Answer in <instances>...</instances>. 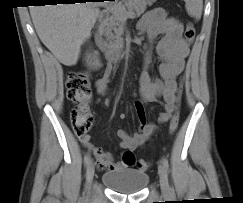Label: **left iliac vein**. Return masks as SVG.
Instances as JSON below:
<instances>
[{
    "label": "left iliac vein",
    "instance_id": "1",
    "mask_svg": "<svg viewBox=\"0 0 243 203\" xmlns=\"http://www.w3.org/2000/svg\"><path fill=\"white\" fill-rule=\"evenodd\" d=\"M158 173H159L161 191L164 195H167L170 192V188H169V183H168L167 171H166L164 165L159 164Z\"/></svg>",
    "mask_w": 243,
    "mask_h": 203
}]
</instances>
